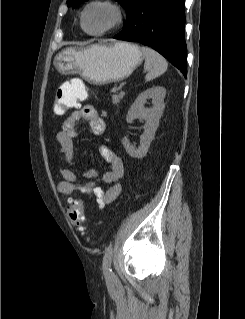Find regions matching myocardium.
Masks as SVG:
<instances>
[{
  "label": "myocardium",
  "instance_id": "1",
  "mask_svg": "<svg viewBox=\"0 0 245 319\" xmlns=\"http://www.w3.org/2000/svg\"><path fill=\"white\" fill-rule=\"evenodd\" d=\"M97 6H101V7H106L108 9H110L113 12L114 18L113 21L111 22L110 25H108L106 28L101 29L99 31H89L86 26H85V18L87 15V12L93 8V7H97ZM125 17V11L123 9V7L118 4L117 2H114L112 0H91L90 2H88L81 13V27L83 29V31L85 33H87L88 35L91 36H102V35H106L112 31H114L116 28H118Z\"/></svg>",
  "mask_w": 245,
  "mask_h": 319
}]
</instances>
